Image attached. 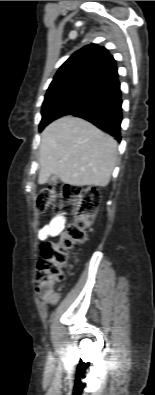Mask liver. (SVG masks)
Segmentation results:
<instances>
[{
  "label": "liver",
  "mask_w": 155,
  "mask_h": 395,
  "mask_svg": "<svg viewBox=\"0 0 155 395\" xmlns=\"http://www.w3.org/2000/svg\"><path fill=\"white\" fill-rule=\"evenodd\" d=\"M118 144L93 124L65 116L41 134L39 184L55 175L72 186L105 187L116 166Z\"/></svg>",
  "instance_id": "1"
}]
</instances>
